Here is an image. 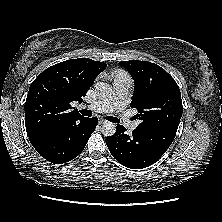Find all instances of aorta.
<instances>
[{
  "label": "aorta",
  "instance_id": "1",
  "mask_svg": "<svg viewBox=\"0 0 222 222\" xmlns=\"http://www.w3.org/2000/svg\"><path fill=\"white\" fill-rule=\"evenodd\" d=\"M95 89L101 97H105L108 94H110L112 87L108 83L97 82L95 84ZM115 132H116V126L112 122H107L102 126V133L106 137L114 135Z\"/></svg>",
  "mask_w": 222,
  "mask_h": 222
}]
</instances>
